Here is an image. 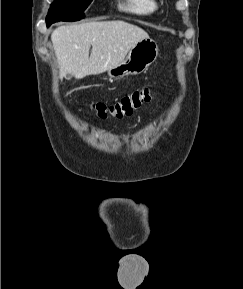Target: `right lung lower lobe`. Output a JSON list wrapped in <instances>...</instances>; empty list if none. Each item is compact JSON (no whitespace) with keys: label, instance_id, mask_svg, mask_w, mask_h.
Here are the masks:
<instances>
[{"label":"right lung lower lobe","instance_id":"obj_1","mask_svg":"<svg viewBox=\"0 0 243 289\" xmlns=\"http://www.w3.org/2000/svg\"><path fill=\"white\" fill-rule=\"evenodd\" d=\"M52 23H47V27H49Z\"/></svg>","mask_w":243,"mask_h":289}]
</instances>
